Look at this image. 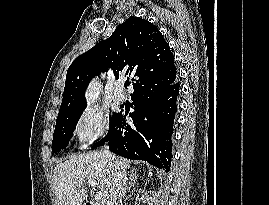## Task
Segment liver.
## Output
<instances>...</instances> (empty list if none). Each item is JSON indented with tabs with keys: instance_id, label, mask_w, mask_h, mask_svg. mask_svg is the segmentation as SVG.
Wrapping results in <instances>:
<instances>
[{
	"instance_id": "1",
	"label": "liver",
	"mask_w": 269,
	"mask_h": 205,
	"mask_svg": "<svg viewBox=\"0 0 269 205\" xmlns=\"http://www.w3.org/2000/svg\"><path fill=\"white\" fill-rule=\"evenodd\" d=\"M114 157L121 161L125 170L130 168L127 160ZM89 179L95 180L99 190L107 197L112 185L113 168L102 151L74 155L58 163L53 171L55 205H82L88 197V190L84 184Z\"/></svg>"
}]
</instances>
